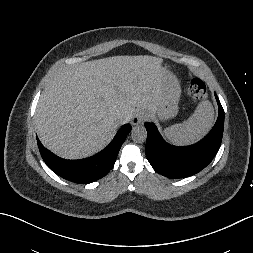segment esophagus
Listing matches in <instances>:
<instances>
[{"instance_id": "1", "label": "esophagus", "mask_w": 253, "mask_h": 253, "mask_svg": "<svg viewBox=\"0 0 253 253\" xmlns=\"http://www.w3.org/2000/svg\"><path fill=\"white\" fill-rule=\"evenodd\" d=\"M146 119V115L143 111H137L132 117V124L138 125L141 124Z\"/></svg>"}]
</instances>
